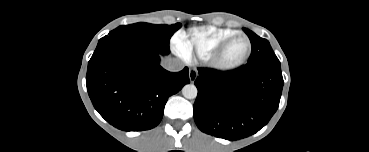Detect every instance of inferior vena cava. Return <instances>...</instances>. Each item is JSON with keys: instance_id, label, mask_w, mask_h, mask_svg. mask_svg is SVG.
Listing matches in <instances>:
<instances>
[{"instance_id": "602c4592", "label": "inferior vena cava", "mask_w": 369, "mask_h": 152, "mask_svg": "<svg viewBox=\"0 0 369 152\" xmlns=\"http://www.w3.org/2000/svg\"><path fill=\"white\" fill-rule=\"evenodd\" d=\"M162 66L170 72H178L183 69L182 63L174 58H166L162 61Z\"/></svg>"}]
</instances>
